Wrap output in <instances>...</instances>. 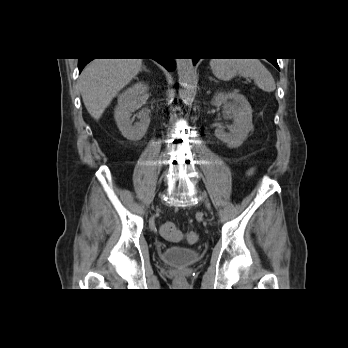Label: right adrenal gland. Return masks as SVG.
Listing matches in <instances>:
<instances>
[{"instance_id": "1", "label": "right adrenal gland", "mask_w": 348, "mask_h": 348, "mask_svg": "<svg viewBox=\"0 0 348 348\" xmlns=\"http://www.w3.org/2000/svg\"><path fill=\"white\" fill-rule=\"evenodd\" d=\"M143 70H144L145 72H149V71L146 69L145 66H143Z\"/></svg>"}]
</instances>
